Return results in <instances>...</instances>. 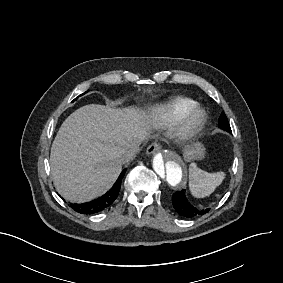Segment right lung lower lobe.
<instances>
[{
  "label": "right lung lower lobe",
  "mask_w": 283,
  "mask_h": 283,
  "mask_svg": "<svg viewBox=\"0 0 283 283\" xmlns=\"http://www.w3.org/2000/svg\"><path fill=\"white\" fill-rule=\"evenodd\" d=\"M126 172V169L122 171L119 178L113 185V187L103 196L99 197L98 199H95L90 202L82 203V204H71V207L81 214H96L98 212H101L105 208L109 207L114 200L117 198L120 187H121V181Z\"/></svg>",
  "instance_id": "1"
}]
</instances>
